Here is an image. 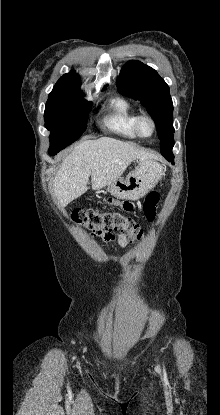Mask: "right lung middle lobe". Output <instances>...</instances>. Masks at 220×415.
Listing matches in <instances>:
<instances>
[{"label":"right lung middle lobe","instance_id":"1","mask_svg":"<svg viewBox=\"0 0 220 415\" xmlns=\"http://www.w3.org/2000/svg\"><path fill=\"white\" fill-rule=\"evenodd\" d=\"M83 94L51 92L45 107V126L51 132L50 151L56 153L76 141L87 127L91 102Z\"/></svg>","mask_w":220,"mask_h":415}]
</instances>
